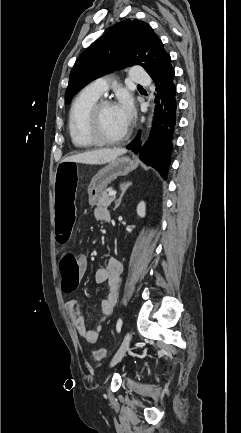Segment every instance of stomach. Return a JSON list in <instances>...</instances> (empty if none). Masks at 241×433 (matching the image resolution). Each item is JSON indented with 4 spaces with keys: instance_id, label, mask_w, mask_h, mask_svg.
Returning <instances> with one entry per match:
<instances>
[{
    "instance_id": "1",
    "label": "stomach",
    "mask_w": 241,
    "mask_h": 433,
    "mask_svg": "<svg viewBox=\"0 0 241 433\" xmlns=\"http://www.w3.org/2000/svg\"><path fill=\"white\" fill-rule=\"evenodd\" d=\"M137 162L128 157H118L104 168L99 170L88 185L89 204L94 205L98 196L106 189L108 184L119 176H126L136 169Z\"/></svg>"
}]
</instances>
